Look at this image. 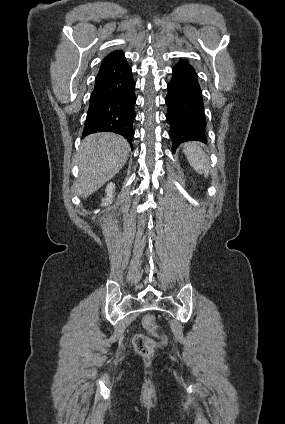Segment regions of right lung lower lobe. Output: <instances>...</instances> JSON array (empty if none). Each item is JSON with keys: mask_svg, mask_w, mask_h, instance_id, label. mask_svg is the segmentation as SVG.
I'll use <instances>...</instances> for the list:
<instances>
[{"mask_svg": "<svg viewBox=\"0 0 285 424\" xmlns=\"http://www.w3.org/2000/svg\"><path fill=\"white\" fill-rule=\"evenodd\" d=\"M134 89L132 70L125 57L102 64L90 97L83 136L114 132L132 145L136 103Z\"/></svg>", "mask_w": 285, "mask_h": 424, "instance_id": "1", "label": "right lung lower lobe"}]
</instances>
